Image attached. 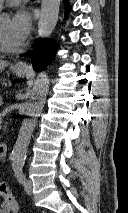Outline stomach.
Here are the masks:
<instances>
[{
    "instance_id": "0dacf381",
    "label": "stomach",
    "mask_w": 128,
    "mask_h": 213,
    "mask_svg": "<svg viewBox=\"0 0 128 213\" xmlns=\"http://www.w3.org/2000/svg\"><path fill=\"white\" fill-rule=\"evenodd\" d=\"M14 71L20 77L21 76H25L27 74V72H28L27 70H17V69H15Z\"/></svg>"
}]
</instances>
